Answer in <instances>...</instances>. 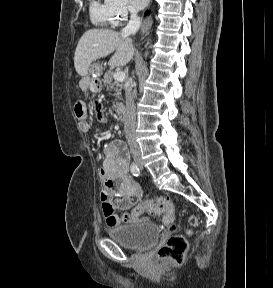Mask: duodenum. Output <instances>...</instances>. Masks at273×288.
I'll return each instance as SVG.
<instances>
[{
  "label": "duodenum",
  "instance_id": "410a0bca",
  "mask_svg": "<svg viewBox=\"0 0 273 288\" xmlns=\"http://www.w3.org/2000/svg\"><path fill=\"white\" fill-rule=\"evenodd\" d=\"M116 114L120 121H124L126 117V109L123 105H118L116 107Z\"/></svg>",
  "mask_w": 273,
  "mask_h": 288
}]
</instances>
